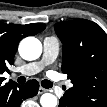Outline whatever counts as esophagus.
<instances>
[{"instance_id":"34e87169","label":"esophagus","mask_w":107,"mask_h":107,"mask_svg":"<svg viewBox=\"0 0 107 107\" xmlns=\"http://www.w3.org/2000/svg\"><path fill=\"white\" fill-rule=\"evenodd\" d=\"M48 91L47 89L43 88V87H40L39 90H38V93L39 94H42L44 92Z\"/></svg>"}]
</instances>
